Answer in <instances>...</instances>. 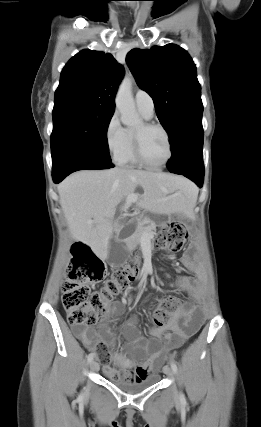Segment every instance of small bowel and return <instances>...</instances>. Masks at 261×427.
<instances>
[{"instance_id": "1", "label": "small bowel", "mask_w": 261, "mask_h": 427, "mask_svg": "<svg viewBox=\"0 0 261 427\" xmlns=\"http://www.w3.org/2000/svg\"><path fill=\"white\" fill-rule=\"evenodd\" d=\"M150 254L146 253V271H150L148 263ZM182 265L194 273V276H184L170 283L171 287L182 290L188 294L195 305H186L174 312L168 324L160 331L155 332V336L147 339L137 328L138 317H131L124 325L123 337L126 340L125 348L129 352L148 356L141 361L132 374L124 376L142 379L158 370L166 359L169 351L180 347L184 341L192 336L203 320V277L200 266L196 263L193 256L186 253L181 258ZM131 301V298H122L111 307V314L119 316L122 313L123 306ZM111 320H103L97 327L83 328L75 327L74 334L92 351H97L100 362L104 366V373L109 377H119L120 374L109 366L110 357L107 348L116 344L109 323ZM163 334V343L160 340V334ZM131 364L129 360H126Z\"/></svg>"}]
</instances>
